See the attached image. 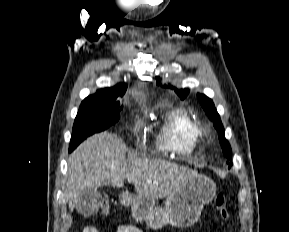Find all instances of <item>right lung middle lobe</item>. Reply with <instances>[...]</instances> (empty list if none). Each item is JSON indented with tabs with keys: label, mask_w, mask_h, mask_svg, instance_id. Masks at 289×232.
<instances>
[{
	"label": "right lung middle lobe",
	"mask_w": 289,
	"mask_h": 232,
	"mask_svg": "<svg viewBox=\"0 0 289 232\" xmlns=\"http://www.w3.org/2000/svg\"><path fill=\"white\" fill-rule=\"evenodd\" d=\"M121 109L116 99H85L75 118L69 152L88 136L115 124L120 118Z\"/></svg>",
	"instance_id": "right-lung-middle-lobe-1"
}]
</instances>
